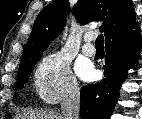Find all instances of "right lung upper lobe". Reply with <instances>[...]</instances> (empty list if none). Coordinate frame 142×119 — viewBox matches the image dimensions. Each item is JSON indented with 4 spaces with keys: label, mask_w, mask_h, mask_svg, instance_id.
<instances>
[{
    "label": "right lung upper lobe",
    "mask_w": 142,
    "mask_h": 119,
    "mask_svg": "<svg viewBox=\"0 0 142 119\" xmlns=\"http://www.w3.org/2000/svg\"><path fill=\"white\" fill-rule=\"evenodd\" d=\"M73 11L82 24L103 21L100 31L104 32L106 44L139 30L132 0H78ZM69 12L68 0H55L39 13L20 67L41 56L49 43L63 30Z\"/></svg>",
    "instance_id": "cb5924a9"
}]
</instances>
